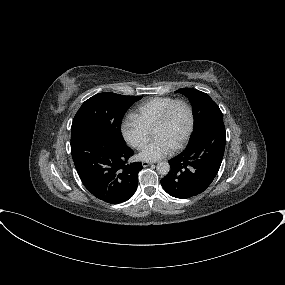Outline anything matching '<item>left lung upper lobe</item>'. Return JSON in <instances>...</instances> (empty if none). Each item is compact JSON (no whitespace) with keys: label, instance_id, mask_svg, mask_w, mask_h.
Returning a JSON list of instances; mask_svg holds the SVG:
<instances>
[{"label":"left lung upper lobe","instance_id":"5c2ea615","mask_svg":"<svg viewBox=\"0 0 285 285\" xmlns=\"http://www.w3.org/2000/svg\"><path fill=\"white\" fill-rule=\"evenodd\" d=\"M175 92L184 94L193 107L195 124L190 141L210 122L218 119L223 120L221 110L208 94L192 88H181Z\"/></svg>","mask_w":285,"mask_h":285}]
</instances>
